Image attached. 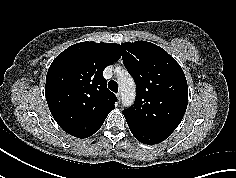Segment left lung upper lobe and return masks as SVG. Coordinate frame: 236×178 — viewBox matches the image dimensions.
I'll return each instance as SVG.
<instances>
[{
    "instance_id": "left-lung-upper-lobe-1",
    "label": "left lung upper lobe",
    "mask_w": 236,
    "mask_h": 178,
    "mask_svg": "<svg viewBox=\"0 0 236 178\" xmlns=\"http://www.w3.org/2000/svg\"><path fill=\"white\" fill-rule=\"evenodd\" d=\"M122 59L137 86L133 107L123 110L127 123L171 134L188 103L181 66L161 47L145 41L122 43Z\"/></svg>"
}]
</instances>
